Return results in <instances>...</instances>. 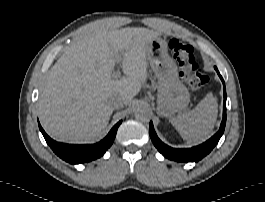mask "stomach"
I'll return each instance as SVG.
<instances>
[{
  "label": "stomach",
  "mask_w": 265,
  "mask_h": 202,
  "mask_svg": "<svg viewBox=\"0 0 265 202\" xmlns=\"http://www.w3.org/2000/svg\"><path fill=\"white\" fill-rule=\"evenodd\" d=\"M146 56L158 78V114L171 117L184 111L189 104L190 95L179 79L176 63L168 54L167 42L161 37L154 38L146 47Z\"/></svg>",
  "instance_id": "stomach-1"
}]
</instances>
